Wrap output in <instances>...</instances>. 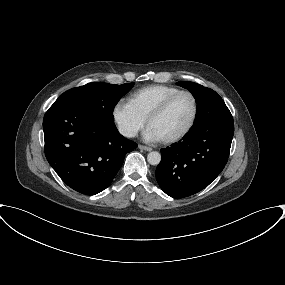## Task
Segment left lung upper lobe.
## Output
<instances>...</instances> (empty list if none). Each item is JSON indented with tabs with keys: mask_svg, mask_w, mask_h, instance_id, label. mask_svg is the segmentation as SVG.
I'll return each instance as SVG.
<instances>
[{
	"mask_svg": "<svg viewBox=\"0 0 285 285\" xmlns=\"http://www.w3.org/2000/svg\"><path fill=\"white\" fill-rule=\"evenodd\" d=\"M177 85L188 89L197 102L196 117L190 129H197L213 122H233L229 109L214 90L193 82L180 81Z\"/></svg>",
	"mask_w": 285,
	"mask_h": 285,
	"instance_id": "obj_1",
	"label": "left lung upper lobe"
}]
</instances>
